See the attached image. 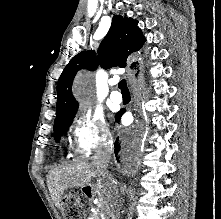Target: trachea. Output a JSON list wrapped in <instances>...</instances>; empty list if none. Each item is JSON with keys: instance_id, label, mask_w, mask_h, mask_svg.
<instances>
[{"instance_id": "3493384b", "label": "trachea", "mask_w": 221, "mask_h": 219, "mask_svg": "<svg viewBox=\"0 0 221 219\" xmlns=\"http://www.w3.org/2000/svg\"><path fill=\"white\" fill-rule=\"evenodd\" d=\"M118 87L120 88V90L123 92V91H129L128 90V87H127V83H126V80H121L119 82V85Z\"/></svg>"}]
</instances>
